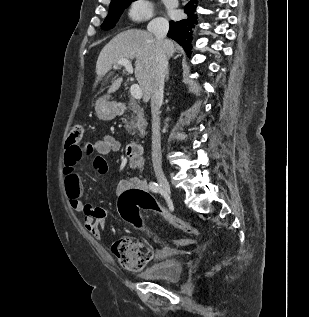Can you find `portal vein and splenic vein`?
<instances>
[{
	"mask_svg": "<svg viewBox=\"0 0 309 317\" xmlns=\"http://www.w3.org/2000/svg\"><path fill=\"white\" fill-rule=\"evenodd\" d=\"M118 66H124L129 73H133V68L131 62L128 59H120L113 66L114 69H117ZM131 96L135 99H140L143 95L142 90L138 84H132L130 88Z\"/></svg>",
	"mask_w": 309,
	"mask_h": 317,
	"instance_id": "portal-vein-and-splenic-vein-1",
	"label": "portal vein and splenic vein"
}]
</instances>
